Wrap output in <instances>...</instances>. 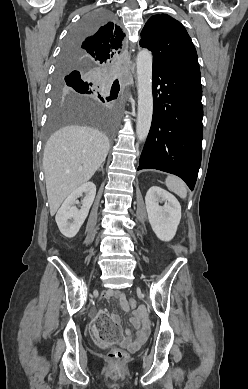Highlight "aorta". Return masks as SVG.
Instances as JSON below:
<instances>
[{
    "label": "aorta",
    "instance_id": "1",
    "mask_svg": "<svg viewBox=\"0 0 248 389\" xmlns=\"http://www.w3.org/2000/svg\"><path fill=\"white\" fill-rule=\"evenodd\" d=\"M137 90L136 134L140 141H144L149 133L153 114L152 54L147 49L139 51L137 55Z\"/></svg>",
    "mask_w": 248,
    "mask_h": 389
}]
</instances>
